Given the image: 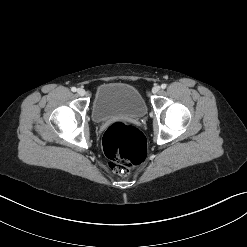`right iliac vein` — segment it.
<instances>
[{
    "mask_svg": "<svg viewBox=\"0 0 247 247\" xmlns=\"http://www.w3.org/2000/svg\"><path fill=\"white\" fill-rule=\"evenodd\" d=\"M85 90L83 89V88H78V90H77V94L79 95V96H84L85 95Z\"/></svg>",
    "mask_w": 247,
    "mask_h": 247,
    "instance_id": "63e3f726",
    "label": "right iliac vein"
}]
</instances>
